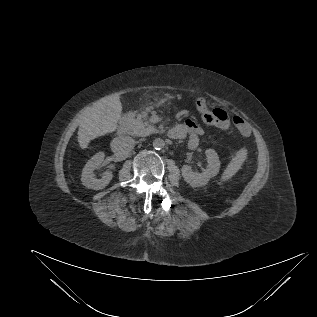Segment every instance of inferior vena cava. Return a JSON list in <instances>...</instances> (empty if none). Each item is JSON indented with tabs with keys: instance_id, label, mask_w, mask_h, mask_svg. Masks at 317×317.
I'll return each instance as SVG.
<instances>
[{
	"instance_id": "inferior-vena-cava-1",
	"label": "inferior vena cava",
	"mask_w": 317,
	"mask_h": 317,
	"mask_svg": "<svg viewBox=\"0 0 317 317\" xmlns=\"http://www.w3.org/2000/svg\"><path fill=\"white\" fill-rule=\"evenodd\" d=\"M134 147L135 140L130 136L116 137L111 142L112 151L119 154H128Z\"/></svg>"
}]
</instances>
